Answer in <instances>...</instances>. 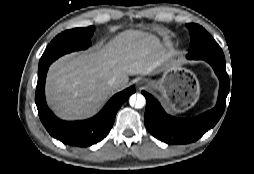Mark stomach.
<instances>
[{
  "mask_svg": "<svg viewBox=\"0 0 254 174\" xmlns=\"http://www.w3.org/2000/svg\"><path fill=\"white\" fill-rule=\"evenodd\" d=\"M165 104L174 112H184L193 107L200 96V84L196 75L176 61H170L162 78L152 82Z\"/></svg>",
  "mask_w": 254,
  "mask_h": 174,
  "instance_id": "obj_1",
  "label": "stomach"
}]
</instances>
